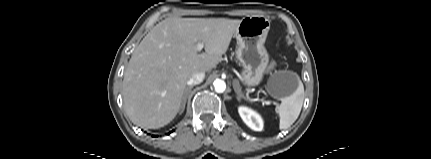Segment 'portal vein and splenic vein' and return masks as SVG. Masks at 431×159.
<instances>
[{
  "label": "portal vein and splenic vein",
  "instance_id": "obj_1",
  "mask_svg": "<svg viewBox=\"0 0 431 159\" xmlns=\"http://www.w3.org/2000/svg\"><path fill=\"white\" fill-rule=\"evenodd\" d=\"M204 45L202 43L197 44V50L201 51L203 49Z\"/></svg>",
  "mask_w": 431,
  "mask_h": 159
}]
</instances>
